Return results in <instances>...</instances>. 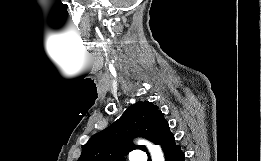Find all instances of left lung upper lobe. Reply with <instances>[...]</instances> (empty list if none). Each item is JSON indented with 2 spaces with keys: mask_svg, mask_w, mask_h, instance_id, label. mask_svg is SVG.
<instances>
[{
  "mask_svg": "<svg viewBox=\"0 0 261 161\" xmlns=\"http://www.w3.org/2000/svg\"><path fill=\"white\" fill-rule=\"evenodd\" d=\"M170 134L168 122L158 107L149 101H139L82 145L78 161H125L123 156L134 149L147 152L145 146L132 144L134 137L141 136L160 145Z\"/></svg>",
  "mask_w": 261,
  "mask_h": 161,
  "instance_id": "left-lung-upper-lobe-1",
  "label": "left lung upper lobe"
}]
</instances>
